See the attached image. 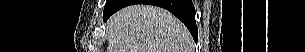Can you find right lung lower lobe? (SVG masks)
<instances>
[{
	"label": "right lung lower lobe",
	"mask_w": 305,
	"mask_h": 52,
	"mask_svg": "<svg viewBox=\"0 0 305 52\" xmlns=\"http://www.w3.org/2000/svg\"><path fill=\"white\" fill-rule=\"evenodd\" d=\"M132 4H150L167 9L186 25L197 42L198 30L195 23V8L191 0H107L103 12L104 20H107L119 9Z\"/></svg>",
	"instance_id": "right-lung-lower-lobe-1"
}]
</instances>
